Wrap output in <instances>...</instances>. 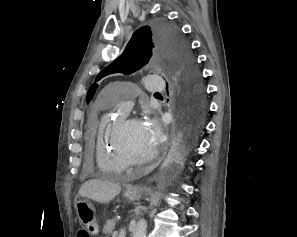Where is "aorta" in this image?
I'll list each match as a JSON object with an SVG mask.
<instances>
[{
	"mask_svg": "<svg viewBox=\"0 0 297 237\" xmlns=\"http://www.w3.org/2000/svg\"><path fill=\"white\" fill-rule=\"evenodd\" d=\"M147 222L145 219H141L137 222L136 228L133 232V237H146Z\"/></svg>",
	"mask_w": 297,
	"mask_h": 237,
	"instance_id": "obj_1",
	"label": "aorta"
}]
</instances>
